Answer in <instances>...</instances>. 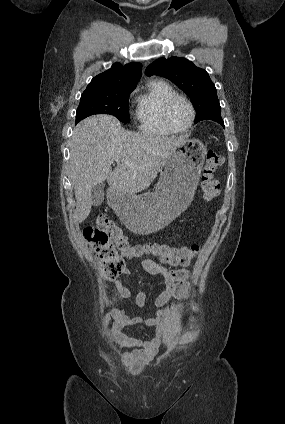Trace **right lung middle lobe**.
Wrapping results in <instances>:
<instances>
[{"instance_id":"obj_1","label":"right lung middle lobe","mask_w":285,"mask_h":424,"mask_svg":"<svg viewBox=\"0 0 285 424\" xmlns=\"http://www.w3.org/2000/svg\"><path fill=\"white\" fill-rule=\"evenodd\" d=\"M136 86L86 89L76 112V123L94 114H110L129 123V95Z\"/></svg>"}]
</instances>
